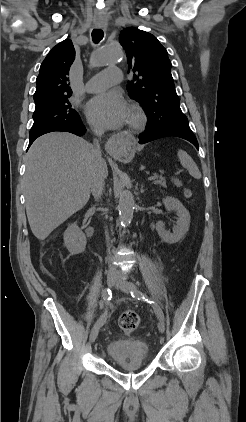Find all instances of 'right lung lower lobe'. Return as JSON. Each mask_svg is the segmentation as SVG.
I'll return each mask as SVG.
<instances>
[{
    "instance_id": "right-lung-lower-lobe-1",
    "label": "right lung lower lobe",
    "mask_w": 246,
    "mask_h": 422,
    "mask_svg": "<svg viewBox=\"0 0 246 422\" xmlns=\"http://www.w3.org/2000/svg\"><path fill=\"white\" fill-rule=\"evenodd\" d=\"M54 131L70 132V133L76 134L78 136H82L83 134H85L86 129H85L82 121H80L77 124H74L72 126H56V127H52V128L47 129V130H45L43 132H40L38 134H35V135L30 136L29 146L39 136H41L43 134H46V133H49V132H54Z\"/></svg>"
}]
</instances>
